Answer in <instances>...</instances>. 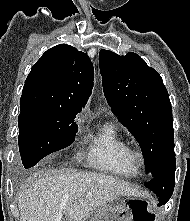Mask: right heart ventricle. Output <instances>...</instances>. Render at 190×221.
Listing matches in <instances>:
<instances>
[{"mask_svg": "<svg viewBox=\"0 0 190 221\" xmlns=\"http://www.w3.org/2000/svg\"><path fill=\"white\" fill-rule=\"evenodd\" d=\"M88 139V162L92 167L122 177L137 175L138 170L130 158L131 146L116 124H105Z\"/></svg>", "mask_w": 190, "mask_h": 221, "instance_id": "1", "label": "right heart ventricle"}]
</instances>
